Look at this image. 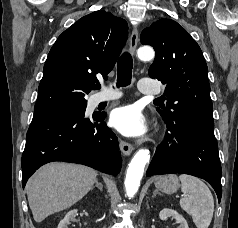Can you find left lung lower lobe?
I'll return each mask as SVG.
<instances>
[{"label": "left lung lower lobe", "instance_id": "obj_1", "mask_svg": "<svg viewBox=\"0 0 238 228\" xmlns=\"http://www.w3.org/2000/svg\"><path fill=\"white\" fill-rule=\"evenodd\" d=\"M165 140L156 149L146 175L182 173L205 179L222 196L221 165L214 124L183 118L165 121Z\"/></svg>", "mask_w": 238, "mask_h": 228}]
</instances>
